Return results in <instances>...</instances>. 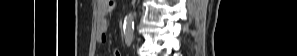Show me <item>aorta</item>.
Masks as SVG:
<instances>
[{
  "label": "aorta",
  "instance_id": "aorta-1",
  "mask_svg": "<svg viewBox=\"0 0 297 56\" xmlns=\"http://www.w3.org/2000/svg\"><path fill=\"white\" fill-rule=\"evenodd\" d=\"M124 32L125 34H132L134 29V21L130 16H126L124 19Z\"/></svg>",
  "mask_w": 297,
  "mask_h": 56
}]
</instances>
